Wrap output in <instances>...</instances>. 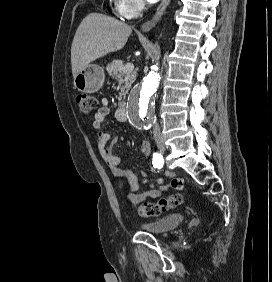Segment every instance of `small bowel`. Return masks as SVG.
<instances>
[{
    "label": "small bowel",
    "instance_id": "1",
    "mask_svg": "<svg viewBox=\"0 0 272 282\" xmlns=\"http://www.w3.org/2000/svg\"><path fill=\"white\" fill-rule=\"evenodd\" d=\"M109 101L102 99V107L96 112L92 126L94 129L99 130V137L97 147L99 153L110 171L117 177L125 178L128 180V194L127 198L130 204L134 207L141 205L148 198H156L165 193L168 190V185H151L150 189L144 193L137 194L135 191L138 188L137 181L134 177V173L130 168L120 167V159L113 154V147L118 142L117 136H111L108 133L102 132V126L105 119L110 114V108L108 106ZM140 152L143 154L148 165H151L152 153L150 146L147 142H141L139 146ZM166 177L172 178V174L167 171Z\"/></svg>",
    "mask_w": 272,
    "mask_h": 282
}]
</instances>
